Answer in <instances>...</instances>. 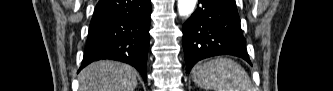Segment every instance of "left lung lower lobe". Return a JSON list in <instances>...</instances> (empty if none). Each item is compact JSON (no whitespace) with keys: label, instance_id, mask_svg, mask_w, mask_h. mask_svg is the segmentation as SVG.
Returning <instances> with one entry per match:
<instances>
[{"label":"left lung lower lobe","instance_id":"0a47b994","mask_svg":"<svg viewBox=\"0 0 333 91\" xmlns=\"http://www.w3.org/2000/svg\"><path fill=\"white\" fill-rule=\"evenodd\" d=\"M187 72L200 60L234 55L250 63L235 0H199L183 26Z\"/></svg>","mask_w":333,"mask_h":91}]
</instances>
